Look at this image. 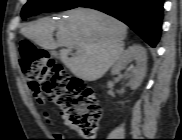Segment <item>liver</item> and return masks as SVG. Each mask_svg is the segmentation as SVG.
<instances>
[{
    "label": "liver",
    "instance_id": "obj_1",
    "mask_svg": "<svg viewBox=\"0 0 182 140\" xmlns=\"http://www.w3.org/2000/svg\"><path fill=\"white\" fill-rule=\"evenodd\" d=\"M66 14L65 23L56 24L45 17L27 24L21 33L53 52L58 46H65L59 53L64 65L76 77L95 81L120 58L127 26L94 9L79 7ZM55 30L57 41L53 39ZM73 47H77L75 54H71Z\"/></svg>",
    "mask_w": 182,
    "mask_h": 140
}]
</instances>
